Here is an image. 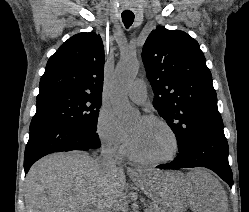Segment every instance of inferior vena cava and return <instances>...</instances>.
<instances>
[{"mask_svg": "<svg viewBox=\"0 0 249 212\" xmlns=\"http://www.w3.org/2000/svg\"><path fill=\"white\" fill-rule=\"evenodd\" d=\"M99 162L100 164H103V166H115L116 162L110 146H102Z\"/></svg>", "mask_w": 249, "mask_h": 212, "instance_id": "inferior-vena-cava-1", "label": "inferior vena cava"}]
</instances>
